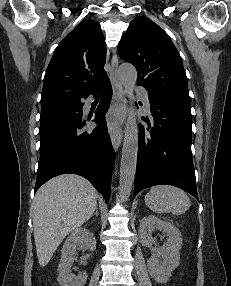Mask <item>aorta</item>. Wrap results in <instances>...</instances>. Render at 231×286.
I'll return each mask as SVG.
<instances>
[{"label": "aorta", "instance_id": "1", "mask_svg": "<svg viewBox=\"0 0 231 286\" xmlns=\"http://www.w3.org/2000/svg\"><path fill=\"white\" fill-rule=\"evenodd\" d=\"M118 74L124 91L130 100V109L124 132L119 181L120 193L123 199L127 201L134 183L138 154V126L133 107L137 71L131 64H122L119 67Z\"/></svg>", "mask_w": 231, "mask_h": 286}]
</instances>
